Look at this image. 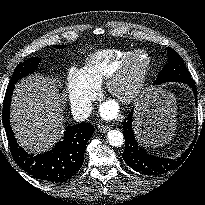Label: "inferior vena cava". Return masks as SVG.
Returning a JSON list of instances; mask_svg holds the SVG:
<instances>
[{"label":"inferior vena cava","mask_w":205,"mask_h":205,"mask_svg":"<svg viewBox=\"0 0 205 205\" xmlns=\"http://www.w3.org/2000/svg\"><path fill=\"white\" fill-rule=\"evenodd\" d=\"M92 111L91 102L77 103L72 106L71 113L74 120L83 121L87 119Z\"/></svg>","instance_id":"1"}]
</instances>
